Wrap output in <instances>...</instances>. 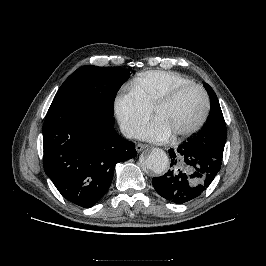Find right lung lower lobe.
Returning <instances> with one entry per match:
<instances>
[{"mask_svg":"<svg viewBox=\"0 0 266 266\" xmlns=\"http://www.w3.org/2000/svg\"><path fill=\"white\" fill-rule=\"evenodd\" d=\"M44 170L68 201L89 208L111 185L115 165L137 155L101 110L52 104L43 125Z\"/></svg>","mask_w":266,"mask_h":266,"instance_id":"right-lung-lower-lobe-1","label":"right lung lower lobe"}]
</instances>
